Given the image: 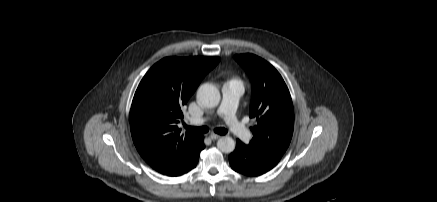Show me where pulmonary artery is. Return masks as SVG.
<instances>
[{
  "label": "pulmonary artery",
  "instance_id": "e3ab8cb5",
  "mask_svg": "<svg viewBox=\"0 0 437 202\" xmlns=\"http://www.w3.org/2000/svg\"><path fill=\"white\" fill-rule=\"evenodd\" d=\"M244 87L241 81L231 79L222 88V101L217 114L222 116L231 132L243 141H248L252 134L247 127L237 118L236 110L239 98L243 94ZM207 118L194 119V124H203Z\"/></svg>",
  "mask_w": 437,
  "mask_h": 202
}]
</instances>
